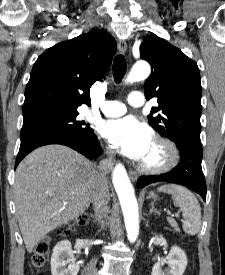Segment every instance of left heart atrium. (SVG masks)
I'll use <instances>...</instances> for the list:
<instances>
[{"label": "left heart atrium", "mask_w": 225, "mask_h": 275, "mask_svg": "<svg viewBox=\"0 0 225 275\" xmlns=\"http://www.w3.org/2000/svg\"><path fill=\"white\" fill-rule=\"evenodd\" d=\"M101 133L124 155L135 160H142L153 143L151 129L133 116L105 122Z\"/></svg>", "instance_id": "obj_1"}]
</instances>
